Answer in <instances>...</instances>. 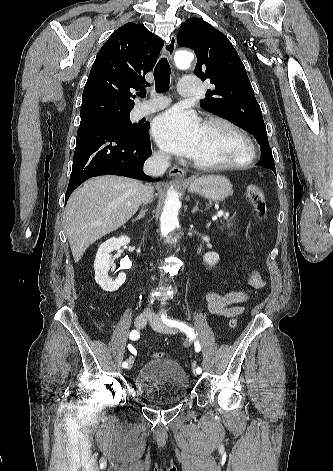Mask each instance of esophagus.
<instances>
[{"label": "esophagus", "instance_id": "obj_1", "mask_svg": "<svg viewBox=\"0 0 333 471\" xmlns=\"http://www.w3.org/2000/svg\"><path fill=\"white\" fill-rule=\"evenodd\" d=\"M175 49L176 35L172 34L170 40L165 44L163 48L162 57L168 58V60H172ZM168 173L170 176L175 177L179 180H184L185 178V171L177 166L170 167Z\"/></svg>", "mask_w": 333, "mask_h": 471}]
</instances>
